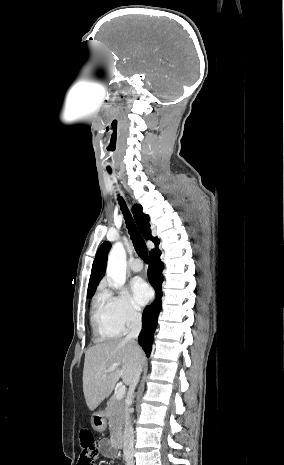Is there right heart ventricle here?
<instances>
[{"label": "right heart ventricle", "mask_w": 284, "mask_h": 465, "mask_svg": "<svg viewBox=\"0 0 284 465\" xmlns=\"http://www.w3.org/2000/svg\"><path fill=\"white\" fill-rule=\"evenodd\" d=\"M90 326L95 342L116 339L124 333L113 319L108 307L100 300L95 301L92 306Z\"/></svg>", "instance_id": "e07e8e85"}]
</instances>
